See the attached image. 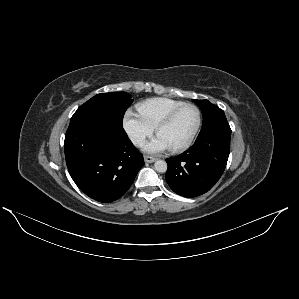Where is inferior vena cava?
Masks as SVG:
<instances>
[{"mask_svg": "<svg viewBox=\"0 0 299 299\" xmlns=\"http://www.w3.org/2000/svg\"><path fill=\"white\" fill-rule=\"evenodd\" d=\"M132 141H133L134 144H139V143L143 142L144 140L141 137H134L132 139Z\"/></svg>", "mask_w": 299, "mask_h": 299, "instance_id": "602c4592", "label": "inferior vena cava"}]
</instances>
